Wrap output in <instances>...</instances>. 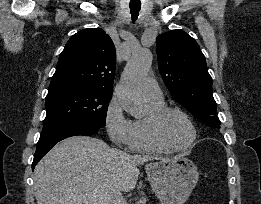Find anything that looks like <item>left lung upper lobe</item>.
<instances>
[{
    "label": "left lung upper lobe",
    "mask_w": 261,
    "mask_h": 204,
    "mask_svg": "<svg viewBox=\"0 0 261 204\" xmlns=\"http://www.w3.org/2000/svg\"><path fill=\"white\" fill-rule=\"evenodd\" d=\"M158 67L172 97L192 115L220 128L212 78L197 42L182 30L156 38Z\"/></svg>",
    "instance_id": "left-lung-upper-lobe-1"
}]
</instances>
